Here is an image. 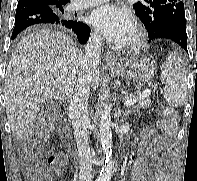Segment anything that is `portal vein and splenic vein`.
Segmentation results:
<instances>
[{
	"label": "portal vein and splenic vein",
	"mask_w": 197,
	"mask_h": 181,
	"mask_svg": "<svg viewBox=\"0 0 197 181\" xmlns=\"http://www.w3.org/2000/svg\"><path fill=\"white\" fill-rule=\"evenodd\" d=\"M151 91L149 89H145L142 94L139 95V99L143 100L146 99L150 95ZM136 103V100H125L124 105L125 106H131L132 104Z\"/></svg>",
	"instance_id": "portal-vein-and-splenic-vein-1"
}]
</instances>
